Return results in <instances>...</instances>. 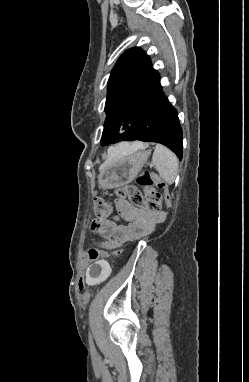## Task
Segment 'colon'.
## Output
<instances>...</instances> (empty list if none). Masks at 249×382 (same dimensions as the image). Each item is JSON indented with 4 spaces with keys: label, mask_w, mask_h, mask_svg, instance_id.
Returning a JSON list of instances; mask_svg holds the SVG:
<instances>
[{
    "label": "colon",
    "mask_w": 249,
    "mask_h": 382,
    "mask_svg": "<svg viewBox=\"0 0 249 382\" xmlns=\"http://www.w3.org/2000/svg\"><path fill=\"white\" fill-rule=\"evenodd\" d=\"M137 181L144 187V194H142L134 185L118 188L115 191V194L121 198H126L128 202L135 207L152 212L160 210L163 203V196L155 185L162 188L164 187V183L162 181H155L152 174L147 171L143 172L138 177ZM94 212L98 217H106L110 213V207L104 199L97 197L94 199ZM119 253L120 250L108 253L98 248L91 247L88 249L85 258L90 262H94L102 256L117 255Z\"/></svg>",
    "instance_id": "colon-1"
}]
</instances>
